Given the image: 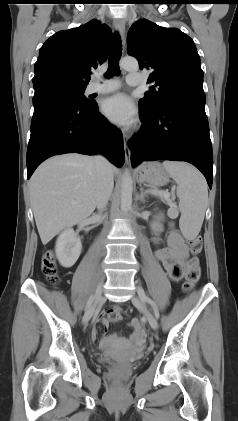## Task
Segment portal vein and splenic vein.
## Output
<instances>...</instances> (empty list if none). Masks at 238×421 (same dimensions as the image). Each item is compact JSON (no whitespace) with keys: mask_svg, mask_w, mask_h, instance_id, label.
I'll list each match as a JSON object with an SVG mask.
<instances>
[{"mask_svg":"<svg viewBox=\"0 0 238 421\" xmlns=\"http://www.w3.org/2000/svg\"><path fill=\"white\" fill-rule=\"evenodd\" d=\"M149 193L153 194V195H157V196H163L165 198H169L170 194L168 192L165 191H160V190H148Z\"/></svg>","mask_w":238,"mask_h":421,"instance_id":"18ae733b","label":"portal vein and splenic vein"}]
</instances>
